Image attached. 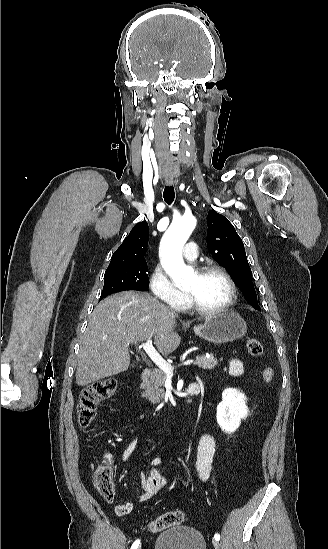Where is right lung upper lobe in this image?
Returning <instances> with one entry per match:
<instances>
[{
  "mask_svg": "<svg viewBox=\"0 0 328 549\" xmlns=\"http://www.w3.org/2000/svg\"><path fill=\"white\" fill-rule=\"evenodd\" d=\"M149 239L147 222H139L130 231L120 247L111 257L107 270L123 267L125 265L145 261V253ZM106 270V271H107Z\"/></svg>",
  "mask_w": 328,
  "mask_h": 549,
  "instance_id": "right-lung-upper-lobe-1",
  "label": "right lung upper lobe"
}]
</instances>
